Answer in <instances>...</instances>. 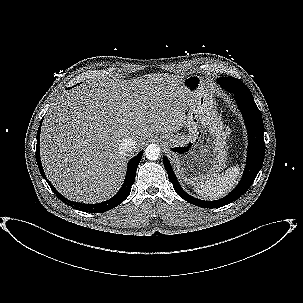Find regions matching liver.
<instances>
[{"label": "liver", "instance_id": "obj_1", "mask_svg": "<svg viewBox=\"0 0 303 303\" xmlns=\"http://www.w3.org/2000/svg\"><path fill=\"white\" fill-rule=\"evenodd\" d=\"M183 76L148 74L132 80L97 74L59 95L43 121L40 155L46 175L70 200L97 203L113 196L127 157L153 133L175 132L185 122L194 94ZM135 150L119 151L125 138Z\"/></svg>", "mask_w": 303, "mask_h": 303}]
</instances>
